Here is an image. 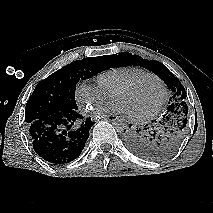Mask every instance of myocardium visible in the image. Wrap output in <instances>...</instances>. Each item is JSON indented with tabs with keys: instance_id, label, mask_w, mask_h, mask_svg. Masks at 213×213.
Masks as SVG:
<instances>
[{
	"instance_id": "f54148a6",
	"label": "myocardium",
	"mask_w": 213,
	"mask_h": 213,
	"mask_svg": "<svg viewBox=\"0 0 213 213\" xmlns=\"http://www.w3.org/2000/svg\"><path fill=\"white\" fill-rule=\"evenodd\" d=\"M146 78H153L159 82V84L161 86V92H162L161 98H160L158 104L149 112H147L143 115H138V116L128 115V117L133 121L148 120V119L152 118L153 116H155L160 111L161 107L163 106V104L165 102L166 96H167V89H166V85H165L163 79L154 73H146L143 75H139V76L133 78L132 80H130L129 82L125 83L121 87H119L112 95L113 100H115V98L118 94L130 90L131 88H133L134 86H136L138 83H140L141 81H143Z\"/></svg>"
}]
</instances>
